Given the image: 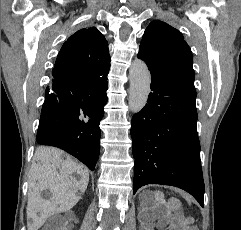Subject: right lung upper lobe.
Masks as SVG:
<instances>
[{"label":"right lung upper lobe","mask_w":241,"mask_h":230,"mask_svg":"<svg viewBox=\"0 0 241 230\" xmlns=\"http://www.w3.org/2000/svg\"><path fill=\"white\" fill-rule=\"evenodd\" d=\"M110 55L105 37L95 27L81 29L63 44L52 75L74 74L90 77H107Z\"/></svg>","instance_id":"obj_1"}]
</instances>
